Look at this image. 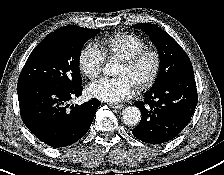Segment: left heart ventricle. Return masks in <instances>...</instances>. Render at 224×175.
Listing matches in <instances>:
<instances>
[{"label":"left heart ventricle","mask_w":224,"mask_h":175,"mask_svg":"<svg viewBox=\"0 0 224 175\" xmlns=\"http://www.w3.org/2000/svg\"><path fill=\"white\" fill-rule=\"evenodd\" d=\"M152 69V60L145 59L136 69L128 68L124 63L121 65L118 72L119 76H127L136 85L138 82L148 77Z\"/></svg>","instance_id":"b2bd125f"}]
</instances>
